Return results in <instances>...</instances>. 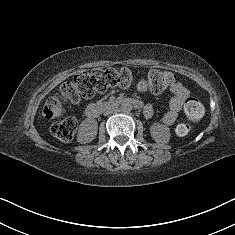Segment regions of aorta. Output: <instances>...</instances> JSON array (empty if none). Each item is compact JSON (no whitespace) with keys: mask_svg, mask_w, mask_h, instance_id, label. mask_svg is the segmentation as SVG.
I'll use <instances>...</instances> for the list:
<instances>
[{"mask_svg":"<svg viewBox=\"0 0 235 235\" xmlns=\"http://www.w3.org/2000/svg\"><path fill=\"white\" fill-rule=\"evenodd\" d=\"M121 110L123 112H130L132 110V106L130 104H128V103H123L121 105Z\"/></svg>","mask_w":235,"mask_h":235,"instance_id":"obj_1","label":"aorta"}]
</instances>
